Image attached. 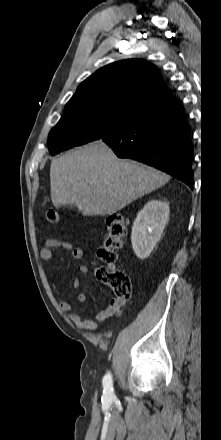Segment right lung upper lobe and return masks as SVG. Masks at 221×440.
<instances>
[{"label": "right lung upper lobe", "mask_w": 221, "mask_h": 440, "mask_svg": "<svg viewBox=\"0 0 221 440\" xmlns=\"http://www.w3.org/2000/svg\"><path fill=\"white\" fill-rule=\"evenodd\" d=\"M158 69L144 60L130 59L109 64L83 81L67 104L107 101L137 110L169 95Z\"/></svg>", "instance_id": "1"}]
</instances>
